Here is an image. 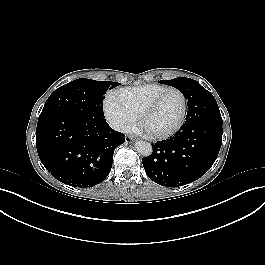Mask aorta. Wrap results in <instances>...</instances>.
Wrapping results in <instances>:
<instances>
[{
  "label": "aorta",
  "instance_id": "1",
  "mask_svg": "<svg viewBox=\"0 0 265 265\" xmlns=\"http://www.w3.org/2000/svg\"><path fill=\"white\" fill-rule=\"evenodd\" d=\"M135 149L143 156H150L152 154V145L149 142L139 140L135 142Z\"/></svg>",
  "mask_w": 265,
  "mask_h": 265
}]
</instances>
